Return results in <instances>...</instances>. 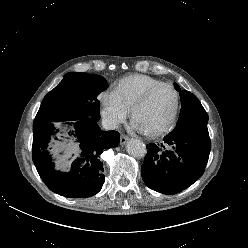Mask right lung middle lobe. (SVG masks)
I'll list each match as a JSON object with an SVG mask.
<instances>
[{
  "label": "right lung middle lobe",
  "instance_id": "1",
  "mask_svg": "<svg viewBox=\"0 0 248 248\" xmlns=\"http://www.w3.org/2000/svg\"><path fill=\"white\" fill-rule=\"evenodd\" d=\"M107 88L105 78L96 74L70 72L42 100L34 123L61 122L91 117L100 119L97 96Z\"/></svg>",
  "mask_w": 248,
  "mask_h": 248
}]
</instances>
